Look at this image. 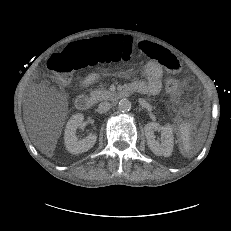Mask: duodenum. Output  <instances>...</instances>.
<instances>
[{"label":"duodenum","instance_id":"obj_1","mask_svg":"<svg viewBox=\"0 0 231 231\" xmlns=\"http://www.w3.org/2000/svg\"><path fill=\"white\" fill-rule=\"evenodd\" d=\"M133 88L129 85L113 94L114 99H122L128 97L132 92ZM76 107L79 110L86 111L89 110L93 105V99L89 96L81 95L76 98Z\"/></svg>","mask_w":231,"mask_h":231}]
</instances>
